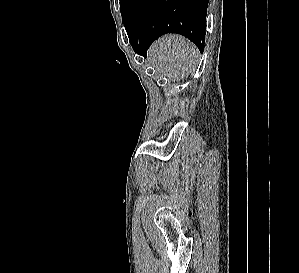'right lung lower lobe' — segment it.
Here are the masks:
<instances>
[{
	"instance_id": "1",
	"label": "right lung lower lobe",
	"mask_w": 299,
	"mask_h": 273,
	"mask_svg": "<svg viewBox=\"0 0 299 273\" xmlns=\"http://www.w3.org/2000/svg\"><path fill=\"white\" fill-rule=\"evenodd\" d=\"M209 0H134L124 24L134 51L146 57L165 33H178L204 50Z\"/></svg>"
}]
</instances>
